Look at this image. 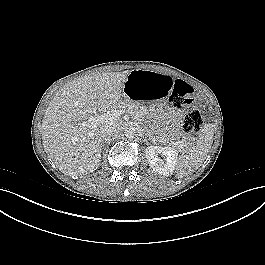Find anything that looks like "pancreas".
<instances>
[{
  "instance_id": "cf45deb5",
  "label": "pancreas",
  "mask_w": 265,
  "mask_h": 265,
  "mask_svg": "<svg viewBox=\"0 0 265 265\" xmlns=\"http://www.w3.org/2000/svg\"><path fill=\"white\" fill-rule=\"evenodd\" d=\"M115 108L122 109L123 112H128L139 123H142L148 115V112H147L145 107L136 104L135 102H133L130 99L120 100L115 105ZM145 132H146V136L149 138H152L153 135L155 134V131L150 130L146 127H145ZM159 132H160L162 139L164 140L165 143H169V141L172 143H175V141H173L174 138L169 137L168 133L165 131V129H161Z\"/></svg>"
}]
</instances>
